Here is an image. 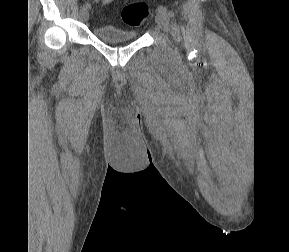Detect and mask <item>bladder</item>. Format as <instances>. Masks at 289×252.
<instances>
[{
  "label": "bladder",
  "instance_id": "1",
  "mask_svg": "<svg viewBox=\"0 0 289 252\" xmlns=\"http://www.w3.org/2000/svg\"><path fill=\"white\" fill-rule=\"evenodd\" d=\"M94 35L108 44L128 43L138 38L135 30L121 29L112 25L97 26L93 29Z\"/></svg>",
  "mask_w": 289,
  "mask_h": 252
}]
</instances>
